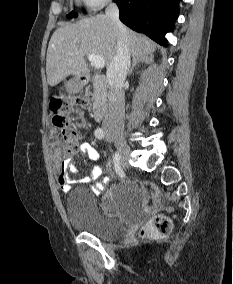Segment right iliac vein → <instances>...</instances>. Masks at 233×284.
Returning <instances> with one entry per match:
<instances>
[{
	"label": "right iliac vein",
	"mask_w": 233,
	"mask_h": 284,
	"mask_svg": "<svg viewBox=\"0 0 233 284\" xmlns=\"http://www.w3.org/2000/svg\"><path fill=\"white\" fill-rule=\"evenodd\" d=\"M110 139L115 143L118 152L121 155L123 164H127L130 158V148L124 139V137L118 133H113L110 135Z\"/></svg>",
	"instance_id": "right-iliac-vein-1"
}]
</instances>
